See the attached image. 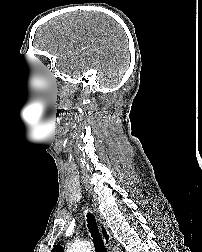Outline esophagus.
Wrapping results in <instances>:
<instances>
[{
    "instance_id": "obj_1",
    "label": "esophagus",
    "mask_w": 202,
    "mask_h": 252,
    "mask_svg": "<svg viewBox=\"0 0 202 252\" xmlns=\"http://www.w3.org/2000/svg\"><path fill=\"white\" fill-rule=\"evenodd\" d=\"M93 209L95 212V216H96V220H97L100 234L103 238V241H104L106 247L110 250L111 246H112V237H111L110 231L104 222L102 214L99 212V210L95 204L93 205Z\"/></svg>"
}]
</instances>
